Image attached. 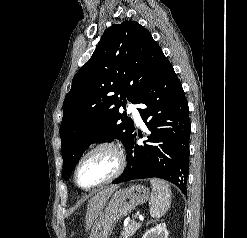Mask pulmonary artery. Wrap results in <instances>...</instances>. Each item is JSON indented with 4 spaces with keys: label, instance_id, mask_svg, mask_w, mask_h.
<instances>
[{
    "label": "pulmonary artery",
    "instance_id": "pulmonary-artery-1",
    "mask_svg": "<svg viewBox=\"0 0 247 238\" xmlns=\"http://www.w3.org/2000/svg\"><path fill=\"white\" fill-rule=\"evenodd\" d=\"M137 107L138 106L135 104H130L128 107V111L133 115L135 122L139 125H142L143 121Z\"/></svg>",
    "mask_w": 247,
    "mask_h": 238
}]
</instances>
